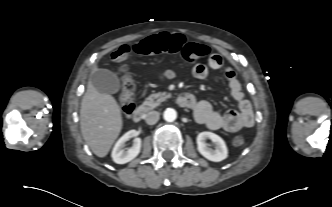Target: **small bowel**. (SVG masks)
I'll return each mask as SVG.
<instances>
[{
  "label": "small bowel",
  "mask_w": 332,
  "mask_h": 207,
  "mask_svg": "<svg viewBox=\"0 0 332 207\" xmlns=\"http://www.w3.org/2000/svg\"><path fill=\"white\" fill-rule=\"evenodd\" d=\"M209 69H223L224 76L228 82L231 96L238 103V111H228L225 113L216 111L208 101H195L192 107L197 122L206 125L212 130H225L236 132L242 128L251 127L254 124V114L250 102L245 98L241 84L237 79L236 71L230 66H223V60L219 55H211L207 64H196L192 73L197 79H205L209 74ZM173 71L167 70L162 78H171Z\"/></svg>",
  "instance_id": "c3829d8e"
}]
</instances>
